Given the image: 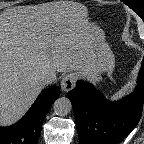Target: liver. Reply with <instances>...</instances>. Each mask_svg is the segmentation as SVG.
<instances>
[{
	"instance_id": "1",
	"label": "liver",
	"mask_w": 144,
	"mask_h": 144,
	"mask_svg": "<svg viewBox=\"0 0 144 144\" xmlns=\"http://www.w3.org/2000/svg\"><path fill=\"white\" fill-rule=\"evenodd\" d=\"M72 1L8 8L0 14V126L33 104L47 72H94V25Z\"/></svg>"
}]
</instances>
